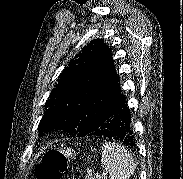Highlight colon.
I'll use <instances>...</instances> for the list:
<instances>
[{"instance_id": "5ec220e1", "label": "colon", "mask_w": 183, "mask_h": 179, "mask_svg": "<svg viewBox=\"0 0 183 179\" xmlns=\"http://www.w3.org/2000/svg\"><path fill=\"white\" fill-rule=\"evenodd\" d=\"M73 154L70 150L54 148L48 150L35 169L37 179H62Z\"/></svg>"}]
</instances>
